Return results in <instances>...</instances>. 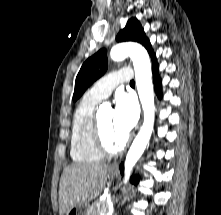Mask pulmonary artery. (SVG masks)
Wrapping results in <instances>:
<instances>
[{
	"label": "pulmonary artery",
	"mask_w": 221,
	"mask_h": 215,
	"mask_svg": "<svg viewBox=\"0 0 221 215\" xmlns=\"http://www.w3.org/2000/svg\"><path fill=\"white\" fill-rule=\"evenodd\" d=\"M132 75V70L129 68L113 71L97 81L88 93L97 99H104L118 84L130 82Z\"/></svg>",
	"instance_id": "1"
}]
</instances>
